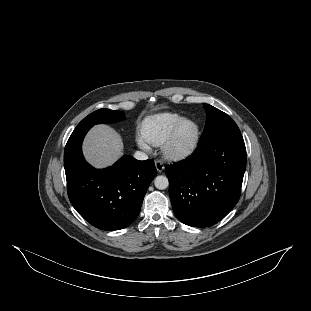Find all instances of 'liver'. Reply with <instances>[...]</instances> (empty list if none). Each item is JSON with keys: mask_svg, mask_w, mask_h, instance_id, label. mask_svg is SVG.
<instances>
[{"mask_svg": "<svg viewBox=\"0 0 311 311\" xmlns=\"http://www.w3.org/2000/svg\"><path fill=\"white\" fill-rule=\"evenodd\" d=\"M87 158L97 166H106L120 156L123 143L119 135L107 126L93 129L85 141Z\"/></svg>", "mask_w": 311, "mask_h": 311, "instance_id": "liver-1", "label": "liver"}]
</instances>
